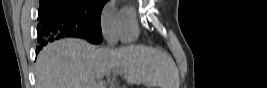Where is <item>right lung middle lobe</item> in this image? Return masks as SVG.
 Segmentation results:
<instances>
[{
    "label": "right lung middle lobe",
    "instance_id": "dd1d6c3e",
    "mask_svg": "<svg viewBox=\"0 0 267 88\" xmlns=\"http://www.w3.org/2000/svg\"><path fill=\"white\" fill-rule=\"evenodd\" d=\"M108 0H40V8L60 14L101 35V11Z\"/></svg>",
    "mask_w": 267,
    "mask_h": 88
}]
</instances>
